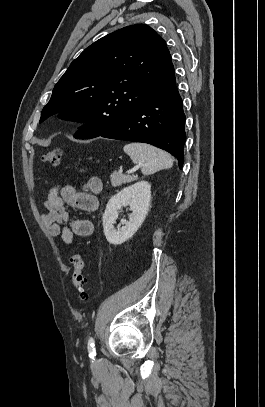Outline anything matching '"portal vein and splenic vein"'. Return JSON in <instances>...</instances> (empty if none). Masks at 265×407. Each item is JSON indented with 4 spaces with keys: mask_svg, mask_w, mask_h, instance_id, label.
<instances>
[{
    "mask_svg": "<svg viewBox=\"0 0 265 407\" xmlns=\"http://www.w3.org/2000/svg\"><path fill=\"white\" fill-rule=\"evenodd\" d=\"M137 169H138V167H135V168L129 170L127 173H134Z\"/></svg>",
    "mask_w": 265,
    "mask_h": 407,
    "instance_id": "18ae733b",
    "label": "portal vein and splenic vein"
}]
</instances>
